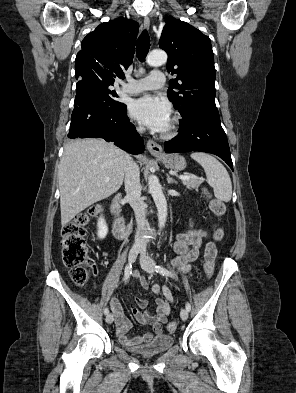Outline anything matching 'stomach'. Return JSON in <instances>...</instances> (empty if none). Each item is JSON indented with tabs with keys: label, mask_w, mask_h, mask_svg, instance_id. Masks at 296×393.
I'll list each match as a JSON object with an SVG mask.
<instances>
[{
	"label": "stomach",
	"mask_w": 296,
	"mask_h": 393,
	"mask_svg": "<svg viewBox=\"0 0 296 393\" xmlns=\"http://www.w3.org/2000/svg\"><path fill=\"white\" fill-rule=\"evenodd\" d=\"M158 157L161 159L165 167L169 169L181 171L186 168V160L179 154L160 155Z\"/></svg>",
	"instance_id": "1"
}]
</instances>
